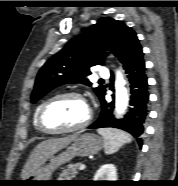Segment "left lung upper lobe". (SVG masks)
<instances>
[{"label":"left lung upper lobe","instance_id":"5c2ea615","mask_svg":"<svg viewBox=\"0 0 178 186\" xmlns=\"http://www.w3.org/2000/svg\"><path fill=\"white\" fill-rule=\"evenodd\" d=\"M111 50L125 67L143 54L136 33L124 23L112 18H101L53 55L39 70L31 101L35 103L52 89L68 83H91L85 78L90 68L103 65L105 49ZM101 100L105 86L94 89Z\"/></svg>","mask_w":178,"mask_h":186}]
</instances>
